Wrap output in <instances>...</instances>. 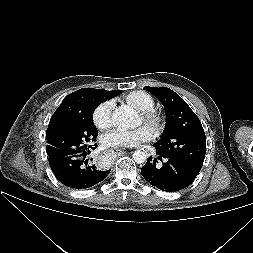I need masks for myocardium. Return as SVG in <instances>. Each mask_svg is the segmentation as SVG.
<instances>
[{"label":"myocardium","instance_id":"obj_1","mask_svg":"<svg viewBox=\"0 0 253 253\" xmlns=\"http://www.w3.org/2000/svg\"><path fill=\"white\" fill-rule=\"evenodd\" d=\"M141 116L155 133H159L165 126L164 114L155 108L141 111Z\"/></svg>","mask_w":253,"mask_h":253}]
</instances>
